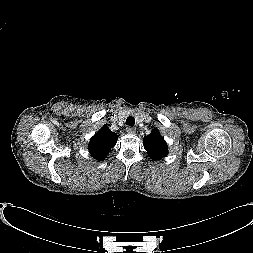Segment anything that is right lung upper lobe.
I'll return each instance as SVG.
<instances>
[{
	"instance_id": "obj_1",
	"label": "right lung upper lobe",
	"mask_w": 253,
	"mask_h": 253,
	"mask_svg": "<svg viewBox=\"0 0 253 253\" xmlns=\"http://www.w3.org/2000/svg\"><path fill=\"white\" fill-rule=\"evenodd\" d=\"M118 140V135L112 132L107 126H103L99 132H97L90 140L89 152L91 155L102 161L106 158V155L111 151Z\"/></svg>"
}]
</instances>
